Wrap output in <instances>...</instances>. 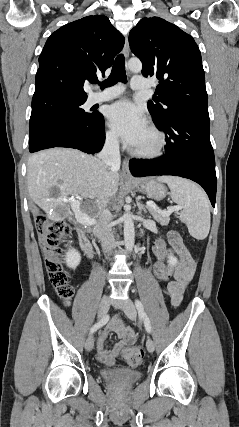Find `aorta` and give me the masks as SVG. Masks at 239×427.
I'll return each instance as SVG.
<instances>
[{"instance_id":"1","label":"aorta","mask_w":239,"mask_h":427,"mask_svg":"<svg viewBox=\"0 0 239 427\" xmlns=\"http://www.w3.org/2000/svg\"><path fill=\"white\" fill-rule=\"evenodd\" d=\"M128 68L130 71L138 73L142 70V63L137 58H132L128 61ZM124 220V243L128 252H131L135 242V232L132 214L126 211L123 214Z\"/></svg>"}]
</instances>
